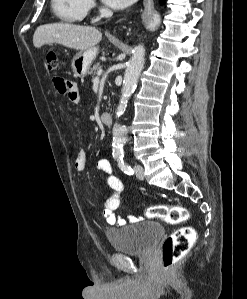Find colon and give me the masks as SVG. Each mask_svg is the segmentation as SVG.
Listing matches in <instances>:
<instances>
[{
  "instance_id": "colon-1",
  "label": "colon",
  "mask_w": 247,
  "mask_h": 299,
  "mask_svg": "<svg viewBox=\"0 0 247 299\" xmlns=\"http://www.w3.org/2000/svg\"><path fill=\"white\" fill-rule=\"evenodd\" d=\"M46 67L49 71L58 69V57L54 51L45 55ZM148 218H158L168 224L176 225L188 218L187 210L181 205H154L145 210ZM195 240V231L189 226L176 229L163 242L162 262L166 270L176 265L189 251Z\"/></svg>"
}]
</instances>
